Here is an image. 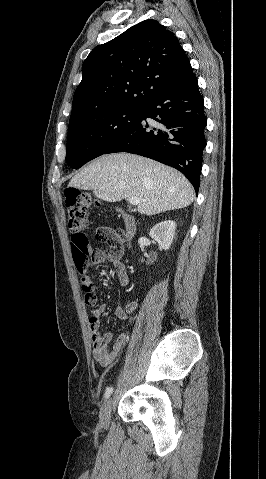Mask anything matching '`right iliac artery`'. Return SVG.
Wrapping results in <instances>:
<instances>
[{"label":"right iliac artery","mask_w":266,"mask_h":479,"mask_svg":"<svg viewBox=\"0 0 266 479\" xmlns=\"http://www.w3.org/2000/svg\"><path fill=\"white\" fill-rule=\"evenodd\" d=\"M113 392V387H108L105 391L104 398L107 399Z\"/></svg>","instance_id":"right-iliac-artery-1"}]
</instances>
